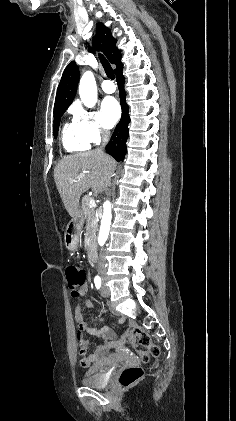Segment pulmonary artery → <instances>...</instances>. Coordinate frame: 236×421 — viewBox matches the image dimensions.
Masks as SVG:
<instances>
[{
	"instance_id": "obj_1",
	"label": "pulmonary artery",
	"mask_w": 236,
	"mask_h": 421,
	"mask_svg": "<svg viewBox=\"0 0 236 421\" xmlns=\"http://www.w3.org/2000/svg\"><path fill=\"white\" fill-rule=\"evenodd\" d=\"M102 90L105 93H114L116 91V84L110 81H103L101 84Z\"/></svg>"
}]
</instances>
